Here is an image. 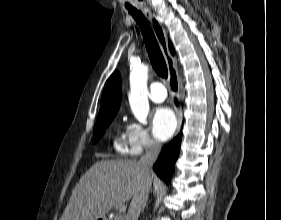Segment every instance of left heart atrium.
<instances>
[{
  "mask_svg": "<svg viewBox=\"0 0 281 220\" xmlns=\"http://www.w3.org/2000/svg\"><path fill=\"white\" fill-rule=\"evenodd\" d=\"M176 125V117L170 108L160 107L155 111L152 118V130L157 139L165 141L170 138Z\"/></svg>",
  "mask_w": 281,
  "mask_h": 220,
  "instance_id": "left-heart-atrium-1",
  "label": "left heart atrium"
}]
</instances>
